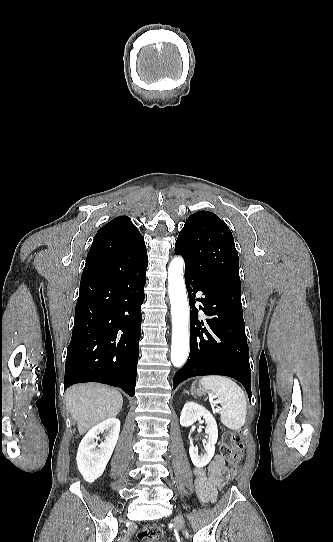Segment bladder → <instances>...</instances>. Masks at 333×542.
<instances>
[{
  "mask_svg": "<svg viewBox=\"0 0 333 542\" xmlns=\"http://www.w3.org/2000/svg\"><path fill=\"white\" fill-rule=\"evenodd\" d=\"M140 542H166V541L161 540V539H142L140 540Z\"/></svg>",
  "mask_w": 333,
  "mask_h": 542,
  "instance_id": "obj_1",
  "label": "bladder"
}]
</instances>
